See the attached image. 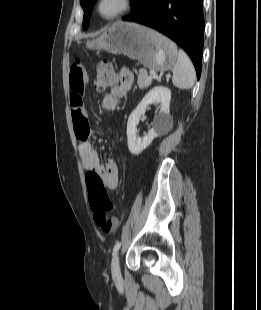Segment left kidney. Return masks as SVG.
I'll list each match as a JSON object with an SVG mask.
<instances>
[{
    "label": "left kidney",
    "mask_w": 261,
    "mask_h": 310,
    "mask_svg": "<svg viewBox=\"0 0 261 310\" xmlns=\"http://www.w3.org/2000/svg\"><path fill=\"white\" fill-rule=\"evenodd\" d=\"M171 91L165 86L152 88L142 99L136 109L131 113L127 122V138L129 151L140 154L152 141L162 132L168 130L172 124V117L169 113ZM151 103H160L159 114L155 117L153 127L143 138L137 135V126L142 114Z\"/></svg>",
    "instance_id": "left-kidney-1"
}]
</instances>
